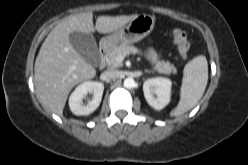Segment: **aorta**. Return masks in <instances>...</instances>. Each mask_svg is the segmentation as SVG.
<instances>
[{"label":"aorta","instance_id":"1","mask_svg":"<svg viewBox=\"0 0 248 165\" xmlns=\"http://www.w3.org/2000/svg\"><path fill=\"white\" fill-rule=\"evenodd\" d=\"M135 86V81L132 77H128L124 80V87L125 88H133Z\"/></svg>","mask_w":248,"mask_h":165}]
</instances>
